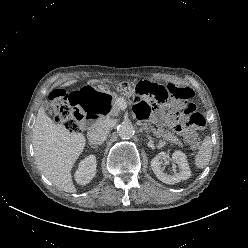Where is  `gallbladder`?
Returning <instances> with one entry per match:
<instances>
[{"label": "gallbladder", "instance_id": "obj_1", "mask_svg": "<svg viewBox=\"0 0 248 248\" xmlns=\"http://www.w3.org/2000/svg\"><path fill=\"white\" fill-rule=\"evenodd\" d=\"M43 108L46 109V110H49V109H50V104H49V102H47V101L44 102V103H43Z\"/></svg>", "mask_w": 248, "mask_h": 248}]
</instances>
